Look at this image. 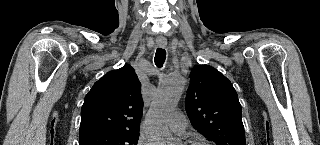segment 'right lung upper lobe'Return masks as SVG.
Listing matches in <instances>:
<instances>
[{
	"label": "right lung upper lobe",
	"mask_w": 320,
	"mask_h": 145,
	"mask_svg": "<svg viewBox=\"0 0 320 145\" xmlns=\"http://www.w3.org/2000/svg\"><path fill=\"white\" fill-rule=\"evenodd\" d=\"M140 81L126 64L98 80L81 109L80 136L108 131H139L143 112Z\"/></svg>",
	"instance_id": "obj_1"
}]
</instances>
